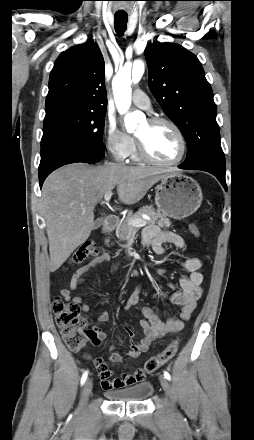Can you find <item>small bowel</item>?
Returning a JSON list of instances; mask_svg holds the SVG:
<instances>
[{"instance_id":"small-bowel-1","label":"small bowel","mask_w":254,"mask_h":440,"mask_svg":"<svg viewBox=\"0 0 254 440\" xmlns=\"http://www.w3.org/2000/svg\"><path fill=\"white\" fill-rule=\"evenodd\" d=\"M142 243L143 246L150 247L156 254H163L165 252L163 248V244L165 243H170L181 250L186 249L185 241L180 235L170 231L160 230L156 226H148L144 229ZM108 260L109 255L107 253H102L93 257L86 265L78 268L73 273L69 285L61 290L62 297L66 300H71L79 307L80 311L88 312L90 306L87 301L81 296H73V291L84 282L83 276L87 272ZM180 264L187 274L181 276L179 279L180 290L173 291L170 296L171 303L177 305L179 310L176 315L169 318L167 321H162L150 307L141 306L139 304L138 287H136L129 295L126 302V308H137L144 316L139 322L143 331V337L139 341L133 339L134 334L129 327L125 328L131 339L130 350L128 352L129 357L138 358L142 353L148 350L150 344L155 339L181 331L184 328L185 322L190 319L203 292V275L200 272L202 262L200 259L192 257L182 260ZM169 287L174 289V286L171 283L169 284ZM96 320L98 322L108 321L109 313L106 311L100 313L96 317ZM92 330L94 336L91 337L89 341L95 346L101 345L102 342L107 339L106 332L98 326L93 327ZM115 349L116 346H110V350L114 351ZM122 360L123 357L116 352H113L109 357V361L112 363H120ZM93 363L99 372L101 384L105 389L122 388L145 381L146 375L142 369H137L131 374H123L120 377H113L112 370L108 367L103 358L98 357L93 360Z\"/></svg>"}]
</instances>
